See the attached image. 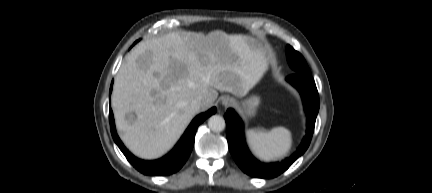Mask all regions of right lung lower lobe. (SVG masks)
<instances>
[{"label":"right lung lower lobe","mask_w":432,"mask_h":193,"mask_svg":"<svg viewBox=\"0 0 432 193\" xmlns=\"http://www.w3.org/2000/svg\"><path fill=\"white\" fill-rule=\"evenodd\" d=\"M112 92V84L110 87V92ZM216 112V108L213 107L209 111L202 113L195 117L175 148L166 156L155 161H144L133 156L123 145L119 139L114 124V117L111 108L109 109V121L111 125V134L118 145L122 153L125 155L127 160L141 173L147 175H169L178 171L188 159L193 145L195 134L198 126L210 115Z\"/></svg>","instance_id":"1"}]
</instances>
